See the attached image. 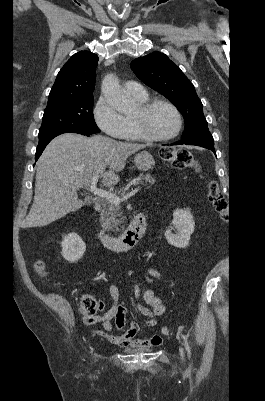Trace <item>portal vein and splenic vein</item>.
<instances>
[{
    "label": "portal vein and splenic vein",
    "instance_id": "1",
    "mask_svg": "<svg viewBox=\"0 0 265 401\" xmlns=\"http://www.w3.org/2000/svg\"><path fill=\"white\" fill-rule=\"evenodd\" d=\"M99 176H93L90 184V188L88 190H91L93 194H97V196H104V198H107V201H111V203H114V205H119L121 201H127V198L134 197L135 193L141 190L142 185L136 186L133 190L130 192L126 193V196H123V198H119L117 194H113V192H108V190H102V188H97L96 182H98Z\"/></svg>",
    "mask_w": 265,
    "mask_h": 401
}]
</instances>
